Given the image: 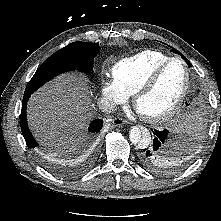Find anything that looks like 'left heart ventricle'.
I'll use <instances>...</instances> for the list:
<instances>
[{
  "instance_id": "b2bd125f",
  "label": "left heart ventricle",
  "mask_w": 221,
  "mask_h": 221,
  "mask_svg": "<svg viewBox=\"0 0 221 221\" xmlns=\"http://www.w3.org/2000/svg\"><path fill=\"white\" fill-rule=\"evenodd\" d=\"M186 73L180 61L173 62L156 86L138 104L140 112L148 115L168 110L179 98L185 85Z\"/></svg>"
}]
</instances>
